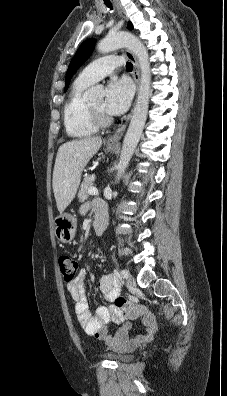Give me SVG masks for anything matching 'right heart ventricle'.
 Returning a JSON list of instances; mask_svg holds the SVG:
<instances>
[{
	"mask_svg": "<svg viewBox=\"0 0 227 396\" xmlns=\"http://www.w3.org/2000/svg\"><path fill=\"white\" fill-rule=\"evenodd\" d=\"M90 85L77 78L64 105V126L70 137L84 138L93 135L98 130V126L92 119L89 103L84 98V91Z\"/></svg>",
	"mask_w": 227,
	"mask_h": 396,
	"instance_id": "right-heart-ventricle-1",
	"label": "right heart ventricle"
}]
</instances>
